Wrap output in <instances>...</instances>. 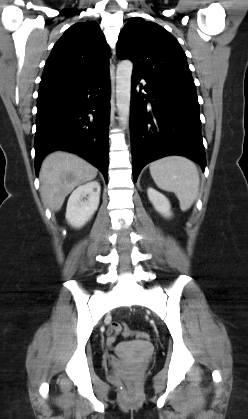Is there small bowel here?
I'll return each instance as SVG.
<instances>
[{
	"instance_id": "obj_1",
	"label": "small bowel",
	"mask_w": 248,
	"mask_h": 419,
	"mask_svg": "<svg viewBox=\"0 0 248 419\" xmlns=\"http://www.w3.org/2000/svg\"><path fill=\"white\" fill-rule=\"evenodd\" d=\"M114 343H115V337L109 336V338H108V344L109 345H114Z\"/></svg>"
}]
</instances>
